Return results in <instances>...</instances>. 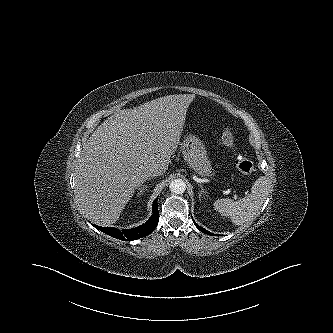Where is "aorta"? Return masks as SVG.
<instances>
[{
  "label": "aorta",
  "mask_w": 333,
  "mask_h": 333,
  "mask_svg": "<svg viewBox=\"0 0 333 333\" xmlns=\"http://www.w3.org/2000/svg\"><path fill=\"white\" fill-rule=\"evenodd\" d=\"M170 191L175 194H182L186 190V184L181 179H175L170 183Z\"/></svg>",
  "instance_id": "1"
}]
</instances>
